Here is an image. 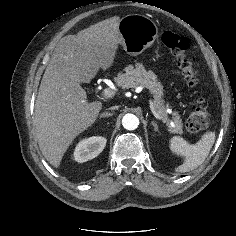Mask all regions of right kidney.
Segmentation results:
<instances>
[{
	"label": "right kidney",
	"mask_w": 236,
	"mask_h": 236,
	"mask_svg": "<svg viewBox=\"0 0 236 236\" xmlns=\"http://www.w3.org/2000/svg\"><path fill=\"white\" fill-rule=\"evenodd\" d=\"M106 139L103 137H90L82 140L76 146L74 159L79 163L86 162L97 157L105 148Z\"/></svg>",
	"instance_id": "right-kidney-1"
}]
</instances>
